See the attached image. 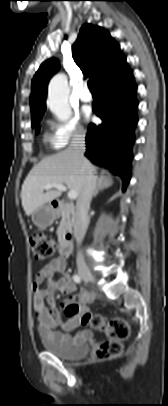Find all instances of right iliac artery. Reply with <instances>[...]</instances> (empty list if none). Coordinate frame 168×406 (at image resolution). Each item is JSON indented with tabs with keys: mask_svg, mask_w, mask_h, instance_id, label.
Here are the masks:
<instances>
[{
	"mask_svg": "<svg viewBox=\"0 0 168 406\" xmlns=\"http://www.w3.org/2000/svg\"><path fill=\"white\" fill-rule=\"evenodd\" d=\"M73 280L76 282V283H81V278L78 276V275H74L73 276Z\"/></svg>",
	"mask_w": 168,
	"mask_h": 406,
	"instance_id": "obj_1",
	"label": "right iliac artery"
}]
</instances>
